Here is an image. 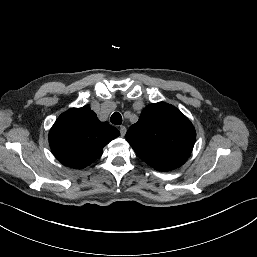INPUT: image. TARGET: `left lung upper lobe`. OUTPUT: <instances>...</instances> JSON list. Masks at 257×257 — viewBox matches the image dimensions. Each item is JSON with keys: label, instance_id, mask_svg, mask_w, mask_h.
<instances>
[{"label": "left lung upper lobe", "instance_id": "left-lung-upper-lobe-1", "mask_svg": "<svg viewBox=\"0 0 257 257\" xmlns=\"http://www.w3.org/2000/svg\"><path fill=\"white\" fill-rule=\"evenodd\" d=\"M196 138L189 121L176 107L164 103L146 106L126 140L137 155L159 171L173 170L185 163Z\"/></svg>", "mask_w": 257, "mask_h": 257}]
</instances>
